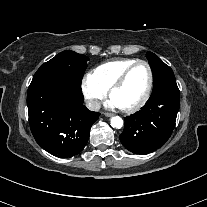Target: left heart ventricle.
Segmentation results:
<instances>
[{"label": "left heart ventricle", "mask_w": 207, "mask_h": 207, "mask_svg": "<svg viewBox=\"0 0 207 207\" xmlns=\"http://www.w3.org/2000/svg\"><path fill=\"white\" fill-rule=\"evenodd\" d=\"M148 84V73L144 65L135 66L122 87L113 95L112 100L119 108H126L137 103L143 96Z\"/></svg>", "instance_id": "1"}]
</instances>
